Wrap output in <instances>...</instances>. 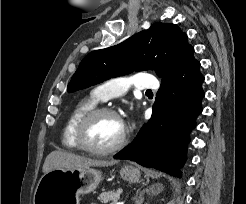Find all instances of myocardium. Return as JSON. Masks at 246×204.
Masks as SVG:
<instances>
[{
	"mask_svg": "<svg viewBox=\"0 0 246 204\" xmlns=\"http://www.w3.org/2000/svg\"><path fill=\"white\" fill-rule=\"evenodd\" d=\"M102 115L114 116L122 122L120 115L112 108L95 107V108L89 110L87 113H85L81 117V119L79 120V122L76 126V130H75L76 142H77L78 146L80 147V149H82L83 151H86V152L91 153V154H96V155H108V154H112V153L120 150L121 148H123L126 145V143L128 141V130L125 126H124V131H123L121 138L114 145H112L110 147L96 148V147H93L87 143L86 131H87L88 126L90 125V123L94 119H96L97 117L102 116Z\"/></svg>",
	"mask_w": 246,
	"mask_h": 204,
	"instance_id": "1",
	"label": "myocardium"
}]
</instances>
